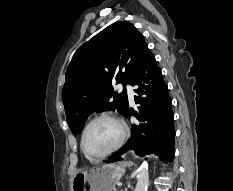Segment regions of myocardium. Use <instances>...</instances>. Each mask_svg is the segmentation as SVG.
Here are the masks:
<instances>
[{
	"label": "myocardium",
	"mask_w": 233,
	"mask_h": 191,
	"mask_svg": "<svg viewBox=\"0 0 233 191\" xmlns=\"http://www.w3.org/2000/svg\"><path fill=\"white\" fill-rule=\"evenodd\" d=\"M102 119H106V120H110L113 121L114 123H116L119 127H120V136L117 140V142L104 154L101 155H91L87 152L86 148H85V136H86V132L88 130V128L96 121L98 120H102ZM128 135V128L126 123L119 117L110 114V113H101L98 114L96 116H94L93 118H91L86 125L83 128L82 134H81V141H80V145H81V149L84 153V155L91 160H102L106 157H108L109 155L113 154L114 152H116L119 148H121V146L124 144L126 138Z\"/></svg>",
	"instance_id": "myocardium-1"
}]
</instances>
